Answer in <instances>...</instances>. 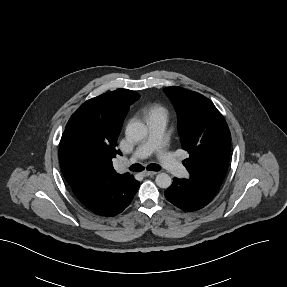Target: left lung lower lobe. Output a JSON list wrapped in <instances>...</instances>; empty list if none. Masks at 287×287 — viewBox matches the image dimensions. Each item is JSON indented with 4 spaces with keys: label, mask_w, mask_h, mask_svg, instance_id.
Here are the masks:
<instances>
[{
    "label": "left lung lower lobe",
    "mask_w": 287,
    "mask_h": 287,
    "mask_svg": "<svg viewBox=\"0 0 287 287\" xmlns=\"http://www.w3.org/2000/svg\"><path fill=\"white\" fill-rule=\"evenodd\" d=\"M218 190L193 179L174 178L165 191L166 199L184 211H196L209 204Z\"/></svg>",
    "instance_id": "0a47b994"
}]
</instances>
